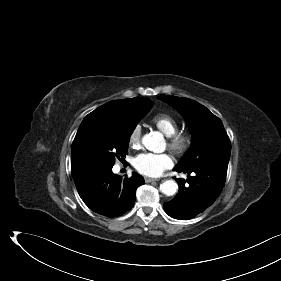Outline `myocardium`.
Here are the masks:
<instances>
[{"label":"myocardium","mask_w":281,"mask_h":281,"mask_svg":"<svg viewBox=\"0 0 281 281\" xmlns=\"http://www.w3.org/2000/svg\"><path fill=\"white\" fill-rule=\"evenodd\" d=\"M192 145V136L187 132L177 131L168 137V146L176 155H184Z\"/></svg>","instance_id":"f54148a6"}]
</instances>
